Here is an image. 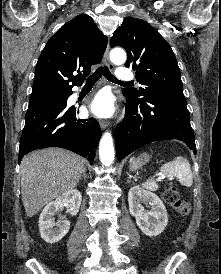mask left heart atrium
<instances>
[{
  "instance_id": "left-heart-atrium-1",
  "label": "left heart atrium",
  "mask_w": 221,
  "mask_h": 274,
  "mask_svg": "<svg viewBox=\"0 0 221 274\" xmlns=\"http://www.w3.org/2000/svg\"><path fill=\"white\" fill-rule=\"evenodd\" d=\"M90 111L97 117H109L114 112V102L108 92H100L92 101Z\"/></svg>"
}]
</instances>
